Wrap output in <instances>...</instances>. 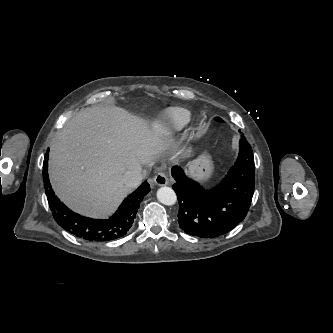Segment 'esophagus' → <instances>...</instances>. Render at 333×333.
Listing matches in <instances>:
<instances>
[{
  "label": "esophagus",
  "instance_id": "1",
  "mask_svg": "<svg viewBox=\"0 0 333 333\" xmlns=\"http://www.w3.org/2000/svg\"><path fill=\"white\" fill-rule=\"evenodd\" d=\"M154 182L158 186H164L169 183L168 178L164 172H159L155 177H154Z\"/></svg>",
  "mask_w": 333,
  "mask_h": 333
}]
</instances>
